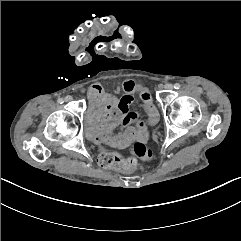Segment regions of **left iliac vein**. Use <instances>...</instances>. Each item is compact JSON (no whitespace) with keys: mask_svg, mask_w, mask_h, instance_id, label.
I'll return each instance as SVG.
<instances>
[{"mask_svg":"<svg viewBox=\"0 0 241 241\" xmlns=\"http://www.w3.org/2000/svg\"><path fill=\"white\" fill-rule=\"evenodd\" d=\"M164 88H165L166 90H172V89H173V85L170 84V83H167V84H165Z\"/></svg>","mask_w":241,"mask_h":241,"instance_id":"obj_1","label":"left iliac vein"}]
</instances>
